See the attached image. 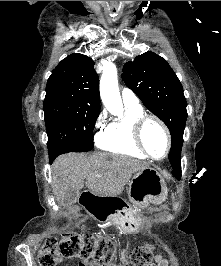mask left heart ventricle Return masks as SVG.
<instances>
[{
	"mask_svg": "<svg viewBox=\"0 0 221 266\" xmlns=\"http://www.w3.org/2000/svg\"><path fill=\"white\" fill-rule=\"evenodd\" d=\"M143 141L149 153L160 158L166 150V138L161 128L154 122L148 121L143 129Z\"/></svg>",
	"mask_w": 221,
	"mask_h": 266,
	"instance_id": "left-heart-ventricle-1",
	"label": "left heart ventricle"
}]
</instances>
